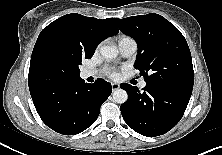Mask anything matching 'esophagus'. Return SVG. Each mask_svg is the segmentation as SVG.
<instances>
[{
	"instance_id": "esophagus-1",
	"label": "esophagus",
	"mask_w": 222,
	"mask_h": 155,
	"mask_svg": "<svg viewBox=\"0 0 222 155\" xmlns=\"http://www.w3.org/2000/svg\"><path fill=\"white\" fill-rule=\"evenodd\" d=\"M111 87H112V90L115 91L120 88V85L118 83H112Z\"/></svg>"
}]
</instances>
